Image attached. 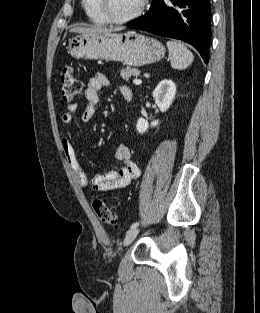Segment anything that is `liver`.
Returning <instances> with one entry per match:
<instances>
[{
  "mask_svg": "<svg viewBox=\"0 0 260 313\" xmlns=\"http://www.w3.org/2000/svg\"><path fill=\"white\" fill-rule=\"evenodd\" d=\"M123 28H104V27H75L70 29V32L80 33V34H93V33H107L121 31Z\"/></svg>",
  "mask_w": 260,
  "mask_h": 313,
  "instance_id": "6515ba94",
  "label": "liver"
}]
</instances>
